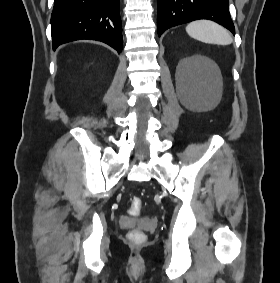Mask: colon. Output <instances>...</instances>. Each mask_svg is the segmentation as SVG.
<instances>
[{
    "mask_svg": "<svg viewBox=\"0 0 280 283\" xmlns=\"http://www.w3.org/2000/svg\"><path fill=\"white\" fill-rule=\"evenodd\" d=\"M142 208V200L138 197H135L132 199L131 205H130V213L132 215H137ZM130 236L133 239L139 240L143 238L142 232L138 230H133L130 232Z\"/></svg>",
    "mask_w": 280,
    "mask_h": 283,
    "instance_id": "5ec220e1",
    "label": "colon"
}]
</instances>
